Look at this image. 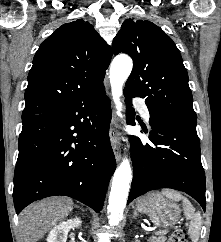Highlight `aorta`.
<instances>
[{
  "label": "aorta",
  "instance_id": "1",
  "mask_svg": "<svg viewBox=\"0 0 221 242\" xmlns=\"http://www.w3.org/2000/svg\"><path fill=\"white\" fill-rule=\"evenodd\" d=\"M133 67L130 57L120 55L114 58L110 67V84L114 103L117 109V115L122 117V103L120 97L123 93V85L129 77ZM132 180V169L130 161L126 158L116 169L111 192L109 196L108 212L109 224L117 225L121 220Z\"/></svg>",
  "mask_w": 221,
  "mask_h": 242
}]
</instances>
